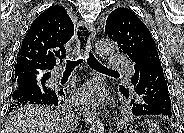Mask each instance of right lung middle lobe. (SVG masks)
Here are the masks:
<instances>
[{"instance_id": "obj_1", "label": "right lung middle lobe", "mask_w": 184, "mask_h": 133, "mask_svg": "<svg viewBox=\"0 0 184 133\" xmlns=\"http://www.w3.org/2000/svg\"><path fill=\"white\" fill-rule=\"evenodd\" d=\"M18 85L17 83V78L15 77V82H14V88ZM34 104H31V105H28V104H25V103H11L10 105V111L11 110H14L16 113L18 112H22V111H26L28 106H32Z\"/></svg>"}]
</instances>
